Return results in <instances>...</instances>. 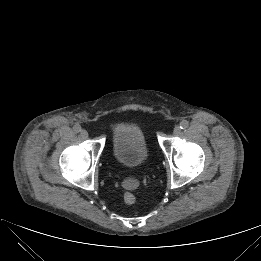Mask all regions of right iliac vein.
Returning <instances> with one entry per match:
<instances>
[{"label":"right iliac vein","instance_id":"right-iliac-vein-1","mask_svg":"<svg viewBox=\"0 0 261 261\" xmlns=\"http://www.w3.org/2000/svg\"><path fill=\"white\" fill-rule=\"evenodd\" d=\"M81 136H82V137H87V136H88L87 130L83 129V130L81 131Z\"/></svg>","mask_w":261,"mask_h":261}]
</instances>
